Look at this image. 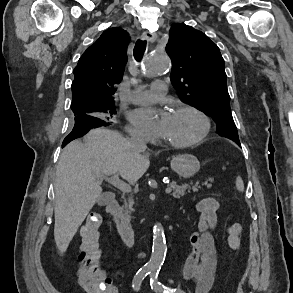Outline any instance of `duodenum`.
<instances>
[{"mask_svg": "<svg viewBox=\"0 0 293 293\" xmlns=\"http://www.w3.org/2000/svg\"><path fill=\"white\" fill-rule=\"evenodd\" d=\"M107 210L112 215L119 234L127 247L131 248L136 242V230L125 217L118 200L113 199L107 204Z\"/></svg>", "mask_w": 293, "mask_h": 293, "instance_id": "duodenum-1", "label": "duodenum"}]
</instances>
